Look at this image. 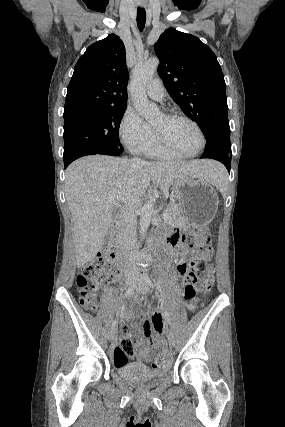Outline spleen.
Masks as SVG:
<instances>
[{"instance_id":"1","label":"spleen","mask_w":285,"mask_h":427,"mask_svg":"<svg viewBox=\"0 0 285 427\" xmlns=\"http://www.w3.org/2000/svg\"><path fill=\"white\" fill-rule=\"evenodd\" d=\"M219 164V163H218ZM221 192H225L228 187V175L225 168L221 165V167H217L215 169V180L212 182Z\"/></svg>"}]
</instances>
